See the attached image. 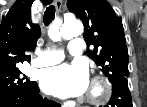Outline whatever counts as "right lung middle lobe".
<instances>
[{"instance_id": "dd1d6c3e", "label": "right lung middle lobe", "mask_w": 147, "mask_h": 107, "mask_svg": "<svg viewBox=\"0 0 147 107\" xmlns=\"http://www.w3.org/2000/svg\"><path fill=\"white\" fill-rule=\"evenodd\" d=\"M36 87L37 83L28 80L18 66L0 71V101L21 92L32 91Z\"/></svg>"}]
</instances>
